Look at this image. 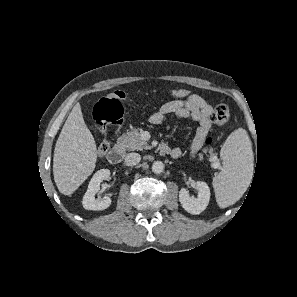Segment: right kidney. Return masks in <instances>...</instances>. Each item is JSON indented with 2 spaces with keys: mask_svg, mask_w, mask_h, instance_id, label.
Here are the masks:
<instances>
[{
  "mask_svg": "<svg viewBox=\"0 0 297 297\" xmlns=\"http://www.w3.org/2000/svg\"><path fill=\"white\" fill-rule=\"evenodd\" d=\"M110 171L101 169L97 171L89 182L88 189L83 196L82 205L87 210L101 211L107 209L111 205V198L104 196L101 200H96L95 195L100 189V183L103 180H109Z\"/></svg>",
  "mask_w": 297,
  "mask_h": 297,
  "instance_id": "right-kidney-1",
  "label": "right kidney"
}]
</instances>
